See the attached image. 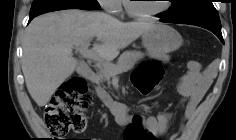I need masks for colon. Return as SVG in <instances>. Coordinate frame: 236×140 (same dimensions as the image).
I'll use <instances>...</instances> for the list:
<instances>
[{"label": "colon", "instance_id": "1", "mask_svg": "<svg viewBox=\"0 0 236 140\" xmlns=\"http://www.w3.org/2000/svg\"><path fill=\"white\" fill-rule=\"evenodd\" d=\"M163 75L160 63L146 61L133 73V84L143 95H150L158 87ZM92 103L84 79L72 76L67 79L45 108L44 120L52 135L63 138L70 131L81 132L86 126V112ZM145 116L134 114L126 124L125 140H153L146 128Z\"/></svg>", "mask_w": 236, "mask_h": 140}]
</instances>
